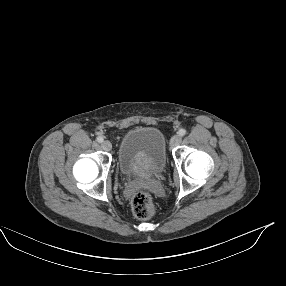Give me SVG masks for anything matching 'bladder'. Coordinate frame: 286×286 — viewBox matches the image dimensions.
Instances as JSON below:
<instances>
[{
    "label": "bladder",
    "instance_id": "31cf9c89",
    "mask_svg": "<svg viewBox=\"0 0 286 286\" xmlns=\"http://www.w3.org/2000/svg\"><path fill=\"white\" fill-rule=\"evenodd\" d=\"M117 161L126 178L148 179L160 175L167 162L164 134L154 127L128 130L120 140Z\"/></svg>",
    "mask_w": 286,
    "mask_h": 286
}]
</instances>
